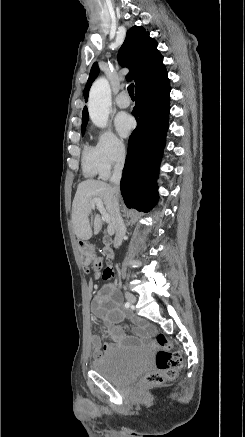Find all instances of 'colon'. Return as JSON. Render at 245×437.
I'll use <instances>...</instances> for the list:
<instances>
[{
  "mask_svg": "<svg viewBox=\"0 0 245 437\" xmlns=\"http://www.w3.org/2000/svg\"><path fill=\"white\" fill-rule=\"evenodd\" d=\"M81 261L86 272H95L98 276L108 280L113 276L110 266L103 264V259L98 251L91 245H81ZM156 368L147 374L144 381L148 384H161L176 378L178 370L182 365V357L178 352L172 350V344L163 333L156 336Z\"/></svg>",
  "mask_w": 245,
  "mask_h": 437,
  "instance_id": "5ec220e1",
  "label": "colon"
}]
</instances>
